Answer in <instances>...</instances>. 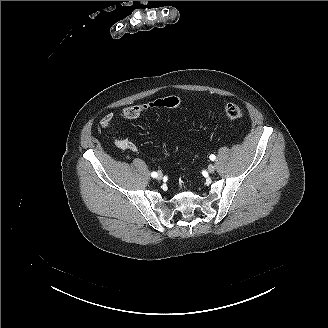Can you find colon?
Returning <instances> with one entry per match:
<instances>
[{
  "mask_svg": "<svg viewBox=\"0 0 328 328\" xmlns=\"http://www.w3.org/2000/svg\"><path fill=\"white\" fill-rule=\"evenodd\" d=\"M179 103L180 101L176 96H167L147 103L129 106L123 110L122 116L125 120H134L147 110L162 107L176 108ZM224 111L226 116L232 120L240 119L243 116L241 108L233 103L227 104Z\"/></svg>",
  "mask_w": 328,
  "mask_h": 328,
  "instance_id": "1",
  "label": "colon"
}]
</instances>
